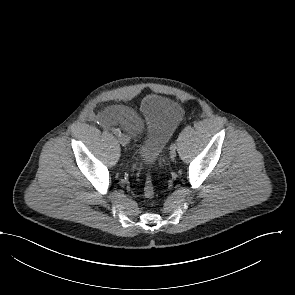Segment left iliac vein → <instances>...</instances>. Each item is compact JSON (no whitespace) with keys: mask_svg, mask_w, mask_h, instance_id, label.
<instances>
[{"mask_svg":"<svg viewBox=\"0 0 295 295\" xmlns=\"http://www.w3.org/2000/svg\"><path fill=\"white\" fill-rule=\"evenodd\" d=\"M176 149H171L170 150V158L171 160H174L176 158Z\"/></svg>","mask_w":295,"mask_h":295,"instance_id":"4c4485c4","label":"left iliac vein"}]
</instances>
